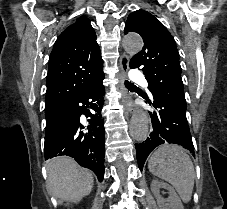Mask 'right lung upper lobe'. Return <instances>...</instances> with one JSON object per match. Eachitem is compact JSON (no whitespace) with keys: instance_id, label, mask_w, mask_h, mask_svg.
Here are the masks:
<instances>
[{"instance_id":"1","label":"right lung upper lobe","mask_w":227,"mask_h":209,"mask_svg":"<svg viewBox=\"0 0 227 209\" xmlns=\"http://www.w3.org/2000/svg\"><path fill=\"white\" fill-rule=\"evenodd\" d=\"M103 75L95 31L89 19L81 17L60 34L50 54L45 108L60 105Z\"/></svg>"}]
</instances>
